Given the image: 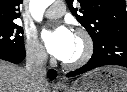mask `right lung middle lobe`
<instances>
[{
	"label": "right lung middle lobe",
	"mask_w": 127,
	"mask_h": 92,
	"mask_svg": "<svg viewBox=\"0 0 127 92\" xmlns=\"http://www.w3.org/2000/svg\"><path fill=\"white\" fill-rule=\"evenodd\" d=\"M23 28L15 23L0 24V46L24 49Z\"/></svg>",
	"instance_id": "dd1d6c3e"
}]
</instances>
